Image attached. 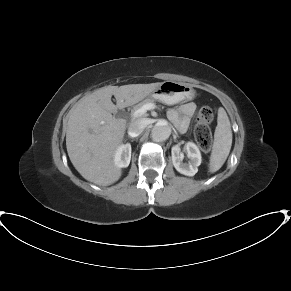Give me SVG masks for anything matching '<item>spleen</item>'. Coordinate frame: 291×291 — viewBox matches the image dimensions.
Returning a JSON list of instances; mask_svg holds the SVG:
<instances>
[{
  "instance_id": "1",
  "label": "spleen",
  "mask_w": 291,
  "mask_h": 291,
  "mask_svg": "<svg viewBox=\"0 0 291 291\" xmlns=\"http://www.w3.org/2000/svg\"><path fill=\"white\" fill-rule=\"evenodd\" d=\"M232 145V130L229 118L224 108L218 109L217 126L214 133V143L210 155L209 172L218 171L225 163Z\"/></svg>"
}]
</instances>
